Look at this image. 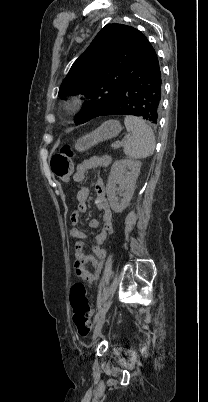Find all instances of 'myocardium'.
Returning a JSON list of instances; mask_svg holds the SVG:
<instances>
[{
    "label": "myocardium",
    "mask_w": 208,
    "mask_h": 402,
    "mask_svg": "<svg viewBox=\"0 0 208 402\" xmlns=\"http://www.w3.org/2000/svg\"><path fill=\"white\" fill-rule=\"evenodd\" d=\"M83 100L79 96H71L63 103V110L67 114H73L83 107Z\"/></svg>",
    "instance_id": "myocardium-1"
}]
</instances>
